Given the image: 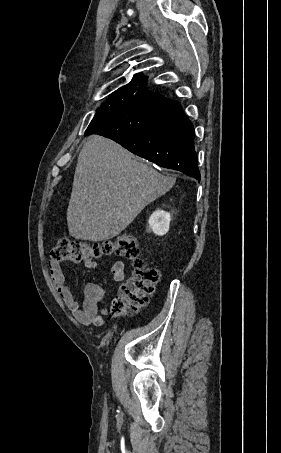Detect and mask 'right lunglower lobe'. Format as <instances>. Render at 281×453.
Wrapping results in <instances>:
<instances>
[{"mask_svg": "<svg viewBox=\"0 0 281 453\" xmlns=\"http://www.w3.org/2000/svg\"><path fill=\"white\" fill-rule=\"evenodd\" d=\"M110 138L161 167L200 180L194 127L181 105L149 92L110 107H100L85 135Z\"/></svg>", "mask_w": 281, "mask_h": 453, "instance_id": "98d812e1", "label": "right lung lower lobe"}]
</instances>
